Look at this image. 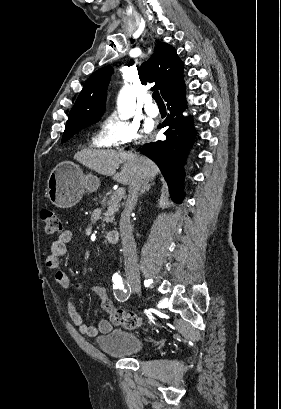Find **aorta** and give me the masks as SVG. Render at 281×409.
<instances>
[{
  "label": "aorta",
  "instance_id": "762f6f07",
  "mask_svg": "<svg viewBox=\"0 0 281 409\" xmlns=\"http://www.w3.org/2000/svg\"><path fill=\"white\" fill-rule=\"evenodd\" d=\"M120 112L130 115L132 111V94L128 87L124 88L118 103Z\"/></svg>",
  "mask_w": 281,
  "mask_h": 409
}]
</instances>
